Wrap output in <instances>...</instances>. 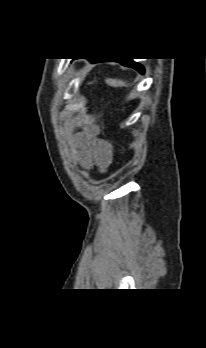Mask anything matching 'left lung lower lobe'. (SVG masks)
I'll return each instance as SVG.
<instances>
[{
    "instance_id": "0a47b994",
    "label": "left lung lower lobe",
    "mask_w": 206,
    "mask_h": 348,
    "mask_svg": "<svg viewBox=\"0 0 206 348\" xmlns=\"http://www.w3.org/2000/svg\"><path fill=\"white\" fill-rule=\"evenodd\" d=\"M92 62H102V61H117L120 62L122 65L124 66H128L131 68L136 69L137 71H139L140 73H144V68L138 64L135 63L132 59H124V60H99V59H90Z\"/></svg>"
}]
</instances>
